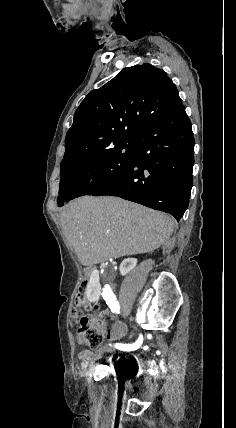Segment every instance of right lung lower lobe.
<instances>
[{
	"label": "right lung lower lobe",
	"mask_w": 236,
	"mask_h": 428,
	"mask_svg": "<svg viewBox=\"0 0 236 428\" xmlns=\"http://www.w3.org/2000/svg\"><path fill=\"white\" fill-rule=\"evenodd\" d=\"M194 138L184 106L146 128L135 139L131 165L94 196H118L173 215L189 204Z\"/></svg>",
	"instance_id": "right-lung-lower-lobe-1"
}]
</instances>
